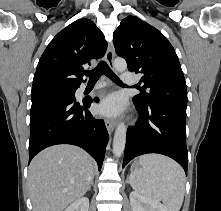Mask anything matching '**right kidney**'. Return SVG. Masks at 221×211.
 <instances>
[{
  "label": "right kidney",
  "mask_w": 221,
  "mask_h": 211,
  "mask_svg": "<svg viewBox=\"0 0 221 211\" xmlns=\"http://www.w3.org/2000/svg\"><path fill=\"white\" fill-rule=\"evenodd\" d=\"M89 210V199L82 197L73 202L65 211H88Z\"/></svg>",
  "instance_id": "ca27d5eb"
}]
</instances>
